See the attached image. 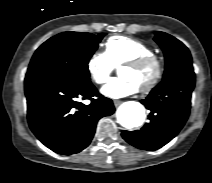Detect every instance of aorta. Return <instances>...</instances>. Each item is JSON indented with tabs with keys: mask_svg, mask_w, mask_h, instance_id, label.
Listing matches in <instances>:
<instances>
[{
	"mask_svg": "<svg viewBox=\"0 0 212 183\" xmlns=\"http://www.w3.org/2000/svg\"><path fill=\"white\" fill-rule=\"evenodd\" d=\"M117 120L127 129L139 127L144 123L145 109L139 102H125L117 110Z\"/></svg>",
	"mask_w": 212,
	"mask_h": 183,
	"instance_id": "762f6f07",
	"label": "aorta"
}]
</instances>
